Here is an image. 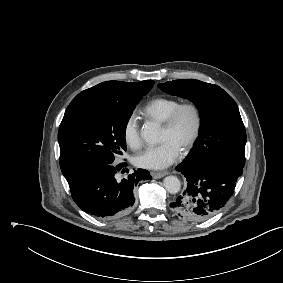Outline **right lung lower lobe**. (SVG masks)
Instances as JSON below:
<instances>
[{"mask_svg":"<svg viewBox=\"0 0 283 283\" xmlns=\"http://www.w3.org/2000/svg\"><path fill=\"white\" fill-rule=\"evenodd\" d=\"M126 164L89 165L65 176L75 203L86 213L112 218L129 212L134 203L133 190L141 180H151L147 170L138 169L118 181L115 174Z\"/></svg>","mask_w":283,"mask_h":283,"instance_id":"obj_1","label":"right lung lower lobe"}]
</instances>
